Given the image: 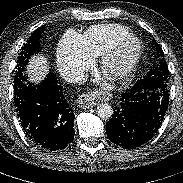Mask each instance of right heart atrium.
Listing matches in <instances>:
<instances>
[{
    "label": "right heart atrium",
    "mask_w": 183,
    "mask_h": 183,
    "mask_svg": "<svg viewBox=\"0 0 183 183\" xmlns=\"http://www.w3.org/2000/svg\"><path fill=\"white\" fill-rule=\"evenodd\" d=\"M57 66L65 76L80 74L91 64L90 55L81 45L79 36L69 32L60 41L57 48Z\"/></svg>",
    "instance_id": "obj_1"
}]
</instances>
